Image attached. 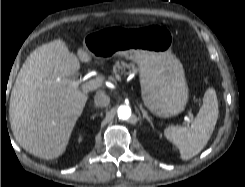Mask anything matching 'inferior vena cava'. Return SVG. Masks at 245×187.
<instances>
[{
  "mask_svg": "<svg viewBox=\"0 0 245 187\" xmlns=\"http://www.w3.org/2000/svg\"><path fill=\"white\" fill-rule=\"evenodd\" d=\"M94 103L98 107H106L110 103V98L108 95H106L104 93H97L94 96Z\"/></svg>",
  "mask_w": 245,
  "mask_h": 187,
  "instance_id": "602c4592",
  "label": "inferior vena cava"
}]
</instances>
